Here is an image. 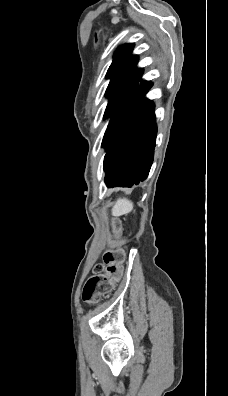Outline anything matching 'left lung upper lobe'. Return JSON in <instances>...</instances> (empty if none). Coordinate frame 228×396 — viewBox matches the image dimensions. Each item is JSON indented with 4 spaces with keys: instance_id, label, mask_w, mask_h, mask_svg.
I'll return each mask as SVG.
<instances>
[{
    "instance_id": "left-lung-upper-lobe-1",
    "label": "left lung upper lobe",
    "mask_w": 228,
    "mask_h": 396,
    "mask_svg": "<svg viewBox=\"0 0 228 396\" xmlns=\"http://www.w3.org/2000/svg\"><path fill=\"white\" fill-rule=\"evenodd\" d=\"M133 48V43L125 44L119 48L107 71L106 77H110L111 80L106 90V96L109 98V101L104 116L141 79L143 69L136 67L138 56L131 55Z\"/></svg>"
}]
</instances>
